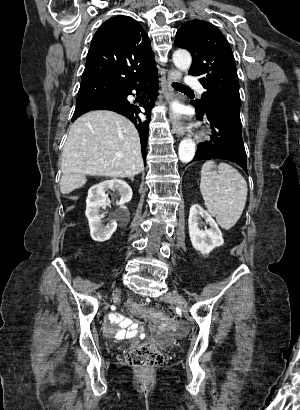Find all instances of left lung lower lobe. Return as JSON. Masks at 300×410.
<instances>
[{"instance_id": "left-lung-lower-lobe-1", "label": "left lung lower lobe", "mask_w": 300, "mask_h": 410, "mask_svg": "<svg viewBox=\"0 0 300 410\" xmlns=\"http://www.w3.org/2000/svg\"><path fill=\"white\" fill-rule=\"evenodd\" d=\"M195 108L197 118L209 122L212 136L210 141L197 146L193 161L225 159L237 163L247 172L239 109L217 102L210 103L205 111Z\"/></svg>"}]
</instances>
